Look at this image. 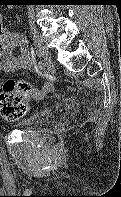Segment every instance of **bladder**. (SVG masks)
Returning a JSON list of instances; mask_svg holds the SVG:
<instances>
[{
  "label": "bladder",
  "instance_id": "1",
  "mask_svg": "<svg viewBox=\"0 0 121 197\" xmlns=\"http://www.w3.org/2000/svg\"><path fill=\"white\" fill-rule=\"evenodd\" d=\"M45 116L49 117V112L47 110L41 111V112L29 117L28 119H25V120L19 122L17 124V126H19V127H31V126L35 125L38 121L43 119Z\"/></svg>",
  "mask_w": 121,
  "mask_h": 197
}]
</instances>
